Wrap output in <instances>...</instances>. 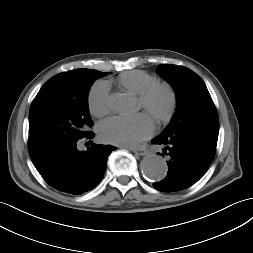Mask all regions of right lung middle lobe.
Listing matches in <instances>:
<instances>
[{"instance_id":"dd1d6c3e","label":"right lung middle lobe","mask_w":253,"mask_h":253,"mask_svg":"<svg viewBox=\"0 0 253 253\" xmlns=\"http://www.w3.org/2000/svg\"><path fill=\"white\" fill-rule=\"evenodd\" d=\"M105 73L77 69L55 75L34 98L29 112V154L33 162L86 137L93 125L88 91Z\"/></svg>"}]
</instances>
